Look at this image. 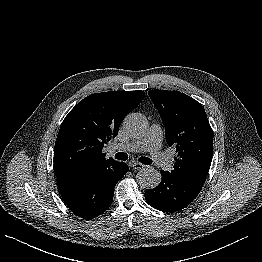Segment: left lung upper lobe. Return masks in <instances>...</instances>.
I'll return each mask as SVG.
<instances>
[{
	"label": "left lung upper lobe",
	"mask_w": 262,
	"mask_h": 262,
	"mask_svg": "<svg viewBox=\"0 0 262 262\" xmlns=\"http://www.w3.org/2000/svg\"><path fill=\"white\" fill-rule=\"evenodd\" d=\"M165 126L166 142L176 148L172 175L203 186L213 155V130L203 106L179 91L148 92Z\"/></svg>",
	"instance_id": "obj_1"
}]
</instances>
